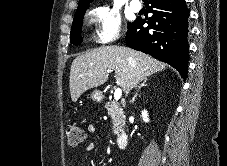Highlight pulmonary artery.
<instances>
[{
	"label": "pulmonary artery",
	"instance_id": "1",
	"mask_svg": "<svg viewBox=\"0 0 227 166\" xmlns=\"http://www.w3.org/2000/svg\"><path fill=\"white\" fill-rule=\"evenodd\" d=\"M130 7L134 12H138L142 9V4L140 1L135 0L130 3Z\"/></svg>",
	"mask_w": 227,
	"mask_h": 166
}]
</instances>
